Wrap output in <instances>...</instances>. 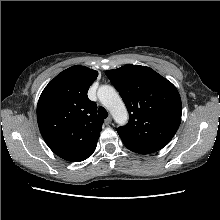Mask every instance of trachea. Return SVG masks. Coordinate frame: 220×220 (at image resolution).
Masks as SVG:
<instances>
[{
	"mask_svg": "<svg viewBox=\"0 0 220 220\" xmlns=\"http://www.w3.org/2000/svg\"><path fill=\"white\" fill-rule=\"evenodd\" d=\"M98 115H99L101 118L105 119V118H107V116H108V112L106 111L105 108L100 107V108L98 109Z\"/></svg>",
	"mask_w": 220,
	"mask_h": 220,
	"instance_id": "obj_1",
	"label": "trachea"
}]
</instances>
